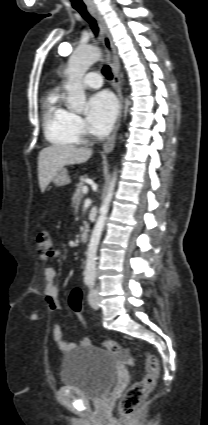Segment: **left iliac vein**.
<instances>
[{
	"label": "left iliac vein",
	"mask_w": 208,
	"mask_h": 425,
	"mask_svg": "<svg viewBox=\"0 0 208 425\" xmlns=\"http://www.w3.org/2000/svg\"><path fill=\"white\" fill-rule=\"evenodd\" d=\"M89 304L93 309L99 308L98 291L96 289H92L89 294Z\"/></svg>",
	"instance_id": "left-iliac-vein-1"
}]
</instances>
